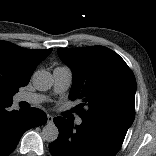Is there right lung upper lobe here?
<instances>
[{
    "label": "right lung upper lobe",
    "instance_id": "1",
    "mask_svg": "<svg viewBox=\"0 0 156 156\" xmlns=\"http://www.w3.org/2000/svg\"><path fill=\"white\" fill-rule=\"evenodd\" d=\"M52 49L30 50L0 41V105L12 103L13 95L29 83L37 65Z\"/></svg>",
    "mask_w": 156,
    "mask_h": 156
}]
</instances>
